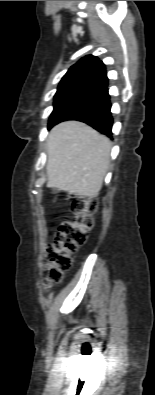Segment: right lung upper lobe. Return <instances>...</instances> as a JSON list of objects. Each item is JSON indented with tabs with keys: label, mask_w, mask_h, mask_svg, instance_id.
<instances>
[{
	"label": "right lung upper lobe",
	"mask_w": 155,
	"mask_h": 395,
	"mask_svg": "<svg viewBox=\"0 0 155 395\" xmlns=\"http://www.w3.org/2000/svg\"><path fill=\"white\" fill-rule=\"evenodd\" d=\"M85 84L105 89L108 85L105 65L96 56H86L63 76L60 85Z\"/></svg>",
	"instance_id": "obj_1"
}]
</instances>
